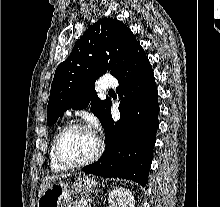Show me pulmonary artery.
<instances>
[{"instance_id": "pulmonary-artery-1", "label": "pulmonary artery", "mask_w": 220, "mask_h": 207, "mask_svg": "<svg viewBox=\"0 0 220 207\" xmlns=\"http://www.w3.org/2000/svg\"><path fill=\"white\" fill-rule=\"evenodd\" d=\"M117 85H118V82L115 78L111 76H105L101 79L99 87L101 90H108V89L116 88ZM70 114L71 112L67 111V115H70Z\"/></svg>"}]
</instances>
